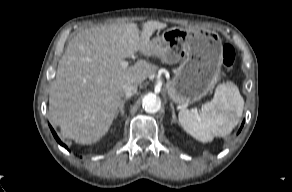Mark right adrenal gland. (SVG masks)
I'll use <instances>...</instances> for the list:
<instances>
[{
    "instance_id": "2a0ac1e0",
    "label": "right adrenal gland",
    "mask_w": 292,
    "mask_h": 192,
    "mask_svg": "<svg viewBox=\"0 0 292 192\" xmlns=\"http://www.w3.org/2000/svg\"><path fill=\"white\" fill-rule=\"evenodd\" d=\"M129 98H125L124 100H122L121 101V104H120V107H119V109H118V111H117V113H116V115H115V119L118 117V115L121 117V118H123V116H124V105H125V103H126V101L128 100Z\"/></svg>"
}]
</instances>
